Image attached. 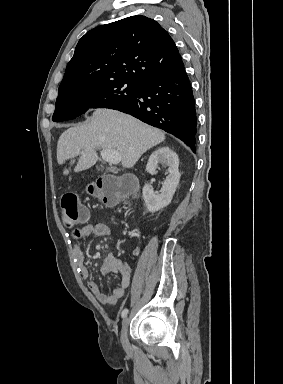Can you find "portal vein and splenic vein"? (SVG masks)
I'll list each match as a JSON object with an SVG mask.
<instances>
[{
	"instance_id": "18ae733b",
	"label": "portal vein and splenic vein",
	"mask_w": 283,
	"mask_h": 384,
	"mask_svg": "<svg viewBox=\"0 0 283 384\" xmlns=\"http://www.w3.org/2000/svg\"><path fill=\"white\" fill-rule=\"evenodd\" d=\"M102 160L109 162V164H119L121 162V156L116 150H102Z\"/></svg>"
}]
</instances>
